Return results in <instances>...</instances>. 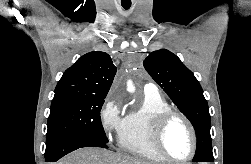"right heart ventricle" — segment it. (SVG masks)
<instances>
[{"instance_id": "obj_1", "label": "right heart ventricle", "mask_w": 251, "mask_h": 164, "mask_svg": "<svg viewBox=\"0 0 251 164\" xmlns=\"http://www.w3.org/2000/svg\"><path fill=\"white\" fill-rule=\"evenodd\" d=\"M170 109L169 103L159 94H145L142 104L124 118L118 135L119 147L140 158L165 162L154 146L152 134L155 119Z\"/></svg>"}]
</instances>
